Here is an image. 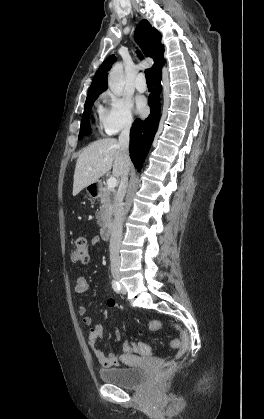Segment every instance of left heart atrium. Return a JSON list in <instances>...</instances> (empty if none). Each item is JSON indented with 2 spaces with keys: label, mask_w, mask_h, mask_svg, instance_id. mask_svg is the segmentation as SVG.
<instances>
[{
  "label": "left heart atrium",
  "mask_w": 264,
  "mask_h": 419,
  "mask_svg": "<svg viewBox=\"0 0 264 419\" xmlns=\"http://www.w3.org/2000/svg\"><path fill=\"white\" fill-rule=\"evenodd\" d=\"M137 109L140 113H143L146 110V104H145V101L143 99H138Z\"/></svg>",
  "instance_id": "39dd6f15"
}]
</instances>
